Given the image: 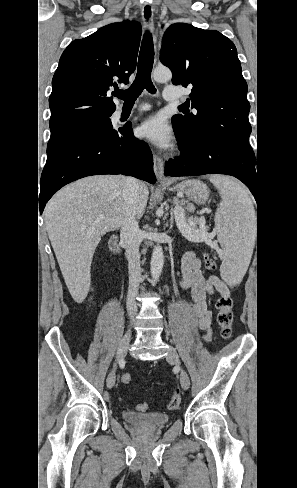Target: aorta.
Segmentation results:
<instances>
[{
	"label": "aorta",
	"mask_w": 297,
	"mask_h": 488,
	"mask_svg": "<svg viewBox=\"0 0 297 488\" xmlns=\"http://www.w3.org/2000/svg\"><path fill=\"white\" fill-rule=\"evenodd\" d=\"M152 77L156 82H166L172 78V73L170 69L166 67L158 66L152 71ZM164 265V254L162 246L159 244L155 245L151 263H150V271H151V283L154 285L161 275L162 269Z\"/></svg>",
	"instance_id": "aorta-1"
}]
</instances>
